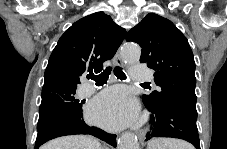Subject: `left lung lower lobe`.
Here are the masks:
<instances>
[{"label": "left lung lower lobe", "mask_w": 227, "mask_h": 149, "mask_svg": "<svg viewBox=\"0 0 227 149\" xmlns=\"http://www.w3.org/2000/svg\"><path fill=\"white\" fill-rule=\"evenodd\" d=\"M143 102L151 112L150 131L146 134V141L154 137L179 138L200 149L195 107L176 101L163 105L150 104L145 100Z\"/></svg>", "instance_id": "1"}]
</instances>
